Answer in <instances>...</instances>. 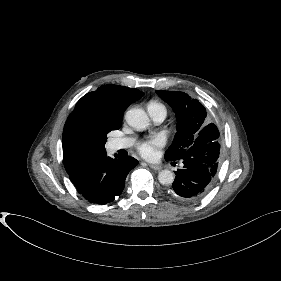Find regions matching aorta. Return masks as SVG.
Returning a JSON list of instances; mask_svg holds the SVG:
<instances>
[{
    "mask_svg": "<svg viewBox=\"0 0 281 281\" xmlns=\"http://www.w3.org/2000/svg\"><path fill=\"white\" fill-rule=\"evenodd\" d=\"M125 120L129 126L136 130H143L149 125V118L142 109H130L125 114ZM158 180L162 185H171L174 182V174L170 170H162L158 174Z\"/></svg>",
    "mask_w": 281,
    "mask_h": 281,
    "instance_id": "obj_1",
    "label": "aorta"
}]
</instances>
